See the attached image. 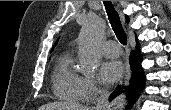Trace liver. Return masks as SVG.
I'll use <instances>...</instances> for the list:
<instances>
[{"label":"liver","instance_id":"liver-1","mask_svg":"<svg viewBox=\"0 0 171 110\" xmlns=\"http://www.w3.org/2000/svg\"><path fill=\"white\" fill-rule=\"evenodd\" d=\"M39 110H93L88 107L79 106L67 102H53L43 105Z\"/></svg>","mask_w":171,"mask_h":110}]
</instances>
